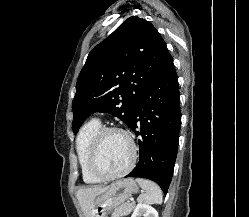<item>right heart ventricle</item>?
I'll list each match as a JSON object with an SVG mask.
<instances>
[{
	"mask_svg": "<svg viewBox=\"0 0 249 217\" xmlns=\"http://www.w3.org/2000/svg\"><path fill=\"white\" fill-rule=\"evenodd\" d=\"M100 128H102L100 121L97 119H92L84 124V126L80 129L76 139V152L82 178L84 182L88 184H97L103 181L93 175L88 165L90 145Z\"/></svg>",
	"mask_w": 249,
	"mask_h": 217,
	"instance_id": "e07e8e85",
	"label": "right heart ventricle"
}]
</instances>
